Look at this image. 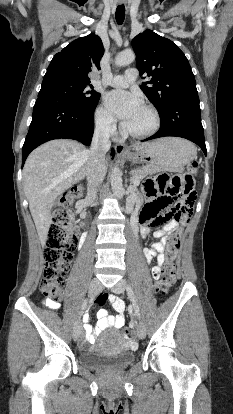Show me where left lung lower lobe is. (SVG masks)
<instances>
[{
    "label": "left lung lower lobe",
    "instance_id": "0a47b994",
    "mask_svg": "<svg viewBox=\"0 0 233 414\" xmlns=\"http://www.w3.org/2000/svg\"><path fill=\"white\" fill-rule=\"evenodd\" d=\"M159 115V131L144 141L166 136L182 137L196 143L206 155L198 95L174 99Z\"/></svg>",
    "mask_w": 233,
    "mask_h": 414
}]
</instances>
